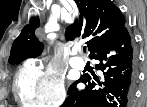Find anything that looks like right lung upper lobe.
I'll list each match as a JSON object with an SVG mask.
<instances>
[{"label": "right lung upper lobe", "instance_id": "right-lung-upper-lobe-1", "mask_svg": "<svg viewBox=\"0 0 147 107\" xmlns=\"http://www.w3.org/2000/svg\"><path fill=\"white\" fill-rule=\"evenodd\" d=\"M79 8V19L66 29V39L73 40L82 35L90 37L86 42L91 57L98 49L115 39L125 28V18L111 0H75ZM40 23L37 18L31 19L15 39L10 64H19L23 60L41 54L43 44L34 32Z\"/></svg>", "mask_w": 147, "mask_h": 107}]
</instances>
